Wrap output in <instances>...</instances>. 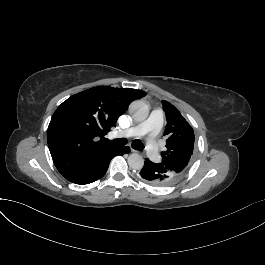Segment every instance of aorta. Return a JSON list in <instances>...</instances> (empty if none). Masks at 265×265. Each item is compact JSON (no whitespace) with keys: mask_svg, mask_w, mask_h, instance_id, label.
<instances>
[{"mask_svg":"<svg viewBox=\"0 0 265 265\" xmlns=\"http://www.w3.org/2000/svg\"><path fill=\"white\" fill-rule=\"evenodd\" d=\"M129 111L135 121H144L149 114L148 106L142 101H134L129 106ZM128 164L133 170H141L144 166V159L138 153H132L128 157Z\"/></svg>","mask_w":265,"mask_h":265,"instance_id":"1","label":"aorta"}]
</instances>
